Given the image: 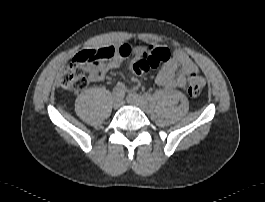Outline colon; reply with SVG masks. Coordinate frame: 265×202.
I'll return each mask as SVG.
<instances>
[{"mask_svg":"<svg viewBox=\"0 0 265 202\" xmlns=\"http://www.w3.org/2000/svg\"><path fill=\"white\" fill-rule=\"evenodd\" d=\"M114 53L109 48H90L78 52L74 59L63 69L58 83L63 89L72 91L82 90L87 87L84 66L102 59L113 57ZM171 53L167 48L148 47L142 57L136 59L132 65V73L140 76L149 69L157 67L161 62L170 59ZM205 79L197 72L189 75L187 92L192 97L199 96L204 88Z\"/></svg>","mask_w":265,"mask_h":202,"instance_id":"obj_1","label":"colon"}]
</instances>
